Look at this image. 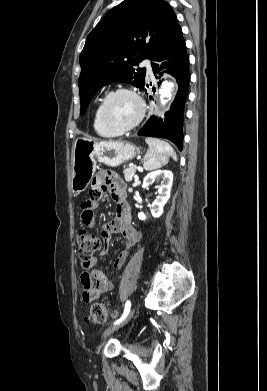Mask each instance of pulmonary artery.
<instances>
[{"mask_svg": "<svg viewBox=\"0 0 267 391\" xmlns=\"http://www.w3.org/2000/svg\"><path fill=\"white\" fill-rule=\"evenodd\" d=\"M142 65L144 67H146L147 71L149 74H152V66H151V61L149 59H145L143 62H142Z\"/></svg>", "mask_w": 267, "mask_h": 391, "instance_id": "1", "label": "pulmonary artery"}]
</instances>
